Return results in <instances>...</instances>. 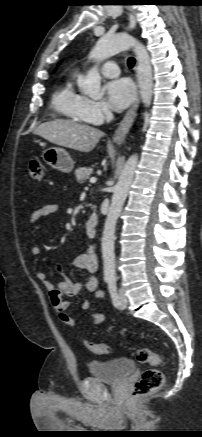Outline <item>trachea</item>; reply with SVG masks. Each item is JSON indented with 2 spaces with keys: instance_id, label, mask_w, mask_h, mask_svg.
Returning a JSON list of instances; mask_svg holds the SVG:
<instances>
[{
  "instance_id": "1",
  "label": "trachea",
  "mask_w": 202,
  "mask_h": 437,
  "mask_svg": "<svg viewBox=\"0 0 202 437\" xmlns=\"http://www.w3.org/2000/svg\"><path fill=\"white\" fill-rule=\"evenodd\" d=\"M127 64L130 68H132L135 64V59L133 57H130L127 61Z\"/></svg>"
}]
</instances>
